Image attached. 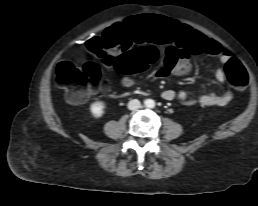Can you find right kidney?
Wrapping results in <instances>:
<instances>
[{
    "instance_id": "right-kidney-1",
    "label": "right kidney",
    "mask_w": 258,
    "mask_h": 206,
    "mask_svg": "<svg viewBox=\"0 0 258 206\" xmlns=\"http://www.w3.org/2000/svg\"><path fill=\"white\" fill-rule=\"evenodd\" d=\"M105 104L103 102H95L90 106V111L95 118H100L104 114Z\"/></svg>"
}]
</instances>
